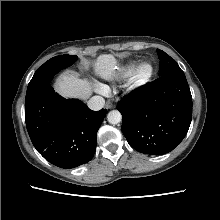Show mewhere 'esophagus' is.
<instances>
[{"label": "esophagus", "mask_w": 220, "mask_h": 220, "mask_svg": "<svg viewBox=\"0 0 220 220\" xmlns=\"http://www.w3.org/2000/svg\"><path fill=\"white\" fill-rule=\"evenodd\" d=\"M106 107L109 108V109H112V108H114V105L110 101H108L106 103Z\"/></svg>", "instance_id": "obj_1"}]
</instances>
